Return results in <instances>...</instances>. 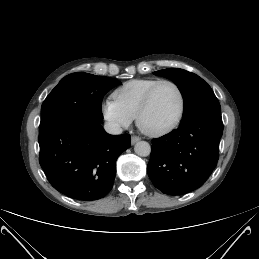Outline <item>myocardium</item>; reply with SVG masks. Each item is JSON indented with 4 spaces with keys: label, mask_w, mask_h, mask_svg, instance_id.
<instances>
[{
    "label": "myocardium",
    "mask_w": 259,
    "mask_h": 259,
    "mask_svg": "<svg viewBox=\"0 0 259 259\" xmlns=\"http://www.w3.org/2000/svg\"><path fill=\"white\" fill-rule=\"evenodd\" d=\"M162 84H170L176 89V91L179 95V100H180L179 112H178L176 118L169 125L161 128V129H158V130H149L143 125V122H142L143 117L151 105L155 91ZM185 105H186L185 95H184L183 90L179 86V84L170 79H161V80L157 81L147 91L146 95L144 96V99H143V101L139 107V110L137 112V115H136V124H137L138 128L148 136H152V137L163 136V135L168 134L169 132L173 131L180 124V122L183 119L184 113H185Z\"/></svg>",
    "instance_id": "myocardium-1"
}]
</instances>
